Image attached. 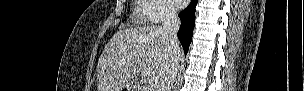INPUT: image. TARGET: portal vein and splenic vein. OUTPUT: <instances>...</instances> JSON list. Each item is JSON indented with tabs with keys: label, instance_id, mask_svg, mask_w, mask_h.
<instances>
[{
	"label": "portal vein and splenic vein",
	"instance_id": "1",
	"mask_svg": "<svg viewBox=\"0 0 304 91\" xmlns=\"http://www.w3.org/2000/svg\"><path fill=\"white\" fill-rule=\"evenodd\" d=\"M148 83H149L151 86H154L155 84L158 83V80H157V78H155V77H150V78L148 79Z\"/></svg>",
	"mask_w": 304,
	"mask_h": 91
}]
</instances>
